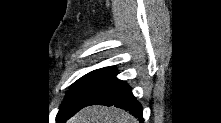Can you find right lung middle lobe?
Here are the masks:
<instances>
[{"label": "right lung middle lobe", "instance_id": "1", "mask_svg": "<svg viewBox=\"0 0 221 123\" xmlns=\"http://www.w3.org/2000/svg\"><path fill=\"white\" fill-rule=\"evenodd\" d=\"M116 73L114 67H105L94 70L71 85L59 113L64 116H73L90 101L96 88Z\"/></svg>", "mask_w": 221, "mask_h": 123}]
</instances>
